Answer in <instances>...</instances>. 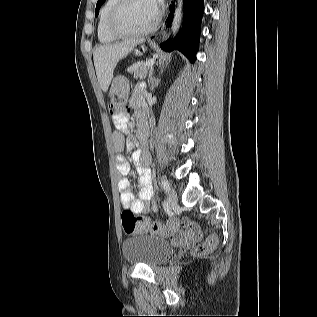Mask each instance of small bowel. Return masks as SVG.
I'll return each instance as SVG.
<instances>
[{
	"instance_id": "c3829d8e",
	"label": "small bowel",
	"mask_w": 317,
	"mask_h": 317,
	"mask_svg": "<svg viewBox=\"0 0 317 317\" xmlns=\"http://www.w3.org/2000/svg\"><path fill=\"white\" fill-rule=\"evenodd\" d=\"M142 87L139 86L135 94L132 96L131 103L136 109L141 108V99L139 93ZM115 131L112 133V146L116 156V167L122 176L119 181L118 188L120 192V202L124 208H129L136 214L147 213L150 210L157 209L154 201V191L152 186V176L148 168L149 154L146 124L140 115L137 119L138 133L137 137L141 141L142 148L132 152V162L135 164L138 175L139 192L136 196L131 189V184L127 178L130 172V163L125 159L122 152L133 150L136 145V137L129 133V117L127 114L113 116ZM199 237V230L196 226L190 224L185 226L179 232L177 230L171 235L173 241L191 242Z\"/></svg>"
}]
</instances>
